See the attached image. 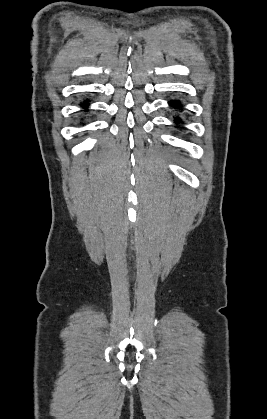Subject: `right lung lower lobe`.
Wrapping results in <instances>:
<instances>
[{"label":"right lung lower lobe","instance_id":"obj_1","mask_svg":"<svg viewBox=\"0 0 267 419\" xmlns=\"http://www.w3.org/2000/svg\"><path fill=\"white\" fill-rule=\"evenodd\" d=\"M87 105H88V101H84V102L81 104V106H82V107H87Z\"/></svg>","mask_w":267,"mask_h":419}]
</instances>
